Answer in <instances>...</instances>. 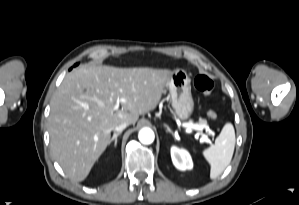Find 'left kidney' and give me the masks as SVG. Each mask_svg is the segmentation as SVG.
I'll return each mask as SVG.
<instances>
[{"label":"left kidney","mask_w":299,"mask_h":205,"mask_svg":"<svg viewBox=\"0 0 299 205\" xmlns=\"http://www.w3.org/2000/svg\"><path fill=\"white\" fill-rule=\"evenodd\" d=\"M171 158L174 166L179 170H189L193 167L191 156L185 149H180L176 146H172Z\"/></svg>","instance_id":"obj_1"}]
</instances>
